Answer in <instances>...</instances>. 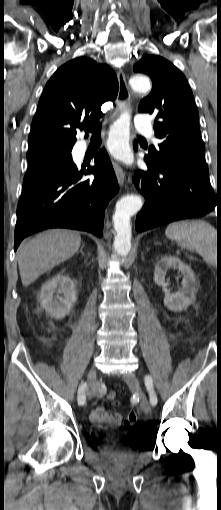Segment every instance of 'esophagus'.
<instances>
[{"label":"esophagus","instance_id":"obj_1","mask_svg":"<svg viewBox=\"0 0 221 510\" xmlns=\"http://www.w3.org/2000/svg\"><path fill=\"white\" fill-rule=\"evenodd\" d=\"M117 78H118V83H119V90H118V95L116 98V108H115V112H114L115 117L119 116L121 113H123L127 109L128 105H129V100H130V94H129L127 82H126L125 75L122 70L118 71ZM112 164H113V168H114V171H115V174H116V177L118 179L120 186H124L125 180H126L125 172L123 171V169L120 167V165L117 162L112 161Z\"/></svg>","mask_w":221,"mask_h":510}]
</instances>
